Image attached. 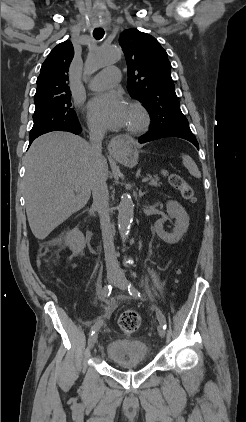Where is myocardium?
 Returning <instances> with one entry per match:
<instances>
[{
	"mask_svg": "<svg viewBox=\"0 0 246 422\" xmlns=\"http://www.w3.org/2000/svg\"><path fill=\"white\" fill-rule=\"evenodd\" d=\"M129 108L136 114L137 120L134 124L127 126L126 131L132 135L146 132L151 124L148 110L139 102H132Z\"/></svg>",
	"mask_w": 246,
	"mask_h": 422,
	"instance_id": "1",
	"label": "myocardium"
}]
</instances>
